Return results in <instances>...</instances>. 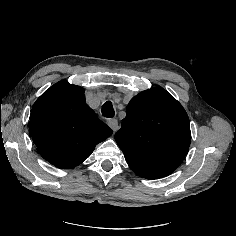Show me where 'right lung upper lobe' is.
<instances>
[{
    "mask_svg": "<svg viewBox=\"0 0 236 236\" xmlns=\"http://www.w3.org/2000/svg\"><path fill=\"white\" fill-rule=\"evenodd\" d=\"M29 132L38 153L62 169L81 164L113 133L85 103L84 89L67 81L54 84L36 100Z\"/></svg>",
    "mask_w": 236,
    "mask_h": 236,
    "instance_id": "cb5924a9",
    "label": "right lung upper lobe"
}]
</instances>
